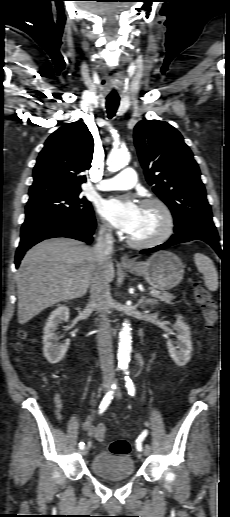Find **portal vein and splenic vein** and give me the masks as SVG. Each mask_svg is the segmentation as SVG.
<instances>
[{
    "label": "portal vein and splenic vein",
    "instance_id": "portal-vein-and-splenic-vein-1",
    "mask_svg": "<svg viewBox=\"0 0 230 517\" xmlns=\"http://www.w3.org/2000/svg\"><path fill=\"white\" fill-rule=\"evenodd\" d=\"M158 293H159L158 291H156V290H152V291H150V293H149V294H150V295H152V296H155V295H157Z\"/></svg>",
    "mask_w": 230,
    "mask_h": 517
}]
</instances>
